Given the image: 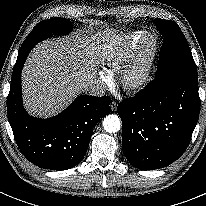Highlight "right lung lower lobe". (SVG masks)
<instances>
[{
	"label": "right lung lower lobe",
	"instance_id": "1",
	"mask_svg": "<svg viewBox=\"0 0 206 206\" xmlns=\"http://www.w3.org/2000/svg\"><path fill=\"white\" fill-rule=\"evenodd\" d=\"M30 50L19 55L7 98L8 120L22 154L50 170L70 169L83 159L98 121L110 113L108 96H79L66 110L49 119L31 117L21 95V71Z\"/></svg>",
	"mask_w": 206,
	"mask_h": 206
}]
</instances>
